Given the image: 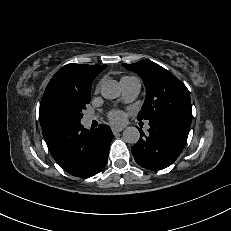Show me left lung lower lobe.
I'll return each mask as SVG.
<instances>
[{
  "label": "left lung lower lobe",
  "instance_id": "0a47b994",
  "mask_svg": "<svg viewBox=\"0 0 231 231\" xmlns=\"http://www.w3.org/2000/svg\"><path fill=\"white\" fill-rule=\"evenodd\" d=\"M150 129L131 151L138 165L149 170H162L171 165L182 152L191 121L174 116H156L149 120Z\"/></svg>",
  "mask_w": 231,
  "mask_h": 231
}]
</instances>
